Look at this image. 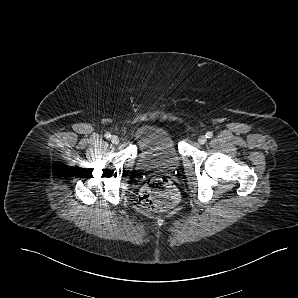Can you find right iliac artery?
Instances as JSON below:
<instances>
[{"instance_id":"right-iliac-artery-1","label":"right iliac artery","mask_w":298,"mask_h":298,"mask_svg":"<svg viewBox=\"0 0 298 298\" xmlns=\"http://www.w3.org/2000/svg\"><path fill=\"white\" fill-rule=\"evenodd\" d=\"M104 136H105V138L109 139L111 137V134L107 132V133H105Z\"/></svg>"}]
</instances>
